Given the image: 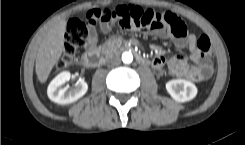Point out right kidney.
<instances>
[{
  "label": "right kidney",
  "instance_id": "1",
  "mask_svg": "<svg viewBox=\"0 0 245 145\" xmlns=\"http://www.w3.org/2000/svg\"><path fill=\"white\" fill-rule=\"evenodd\" d=\"M71 78L69 71H63L58 74L49 84L47 89V95L49 99L55 103L65 105L77 101L88 90V85L85 81H78L74 87H63L67 81Z\"/></svg>",
  "mask_w": 245,
  "mask_h": 145
}]
</instances>
